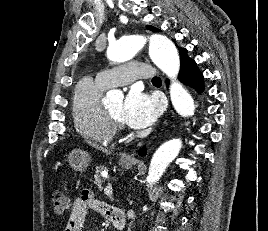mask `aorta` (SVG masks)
I'll return each instance as SVG.
<instances>
[{
    "instance_id": "1",
    "label": "aorta",
    "mask_w": 268,
    "mask_h": 231,
    "mask_svg": "<svg viewBox=\"0 0 268 231\" xmlns=\"http://www.w3.org/2000/svg\"><path fill=\"white\" fill-rule=\"evenodd\" d=\"M145 39L142 36H126L109 45L107 57L113 62H125L132 59L142 48ZM149 55L152 61L170 79V96L174 109L182 117L194 115V101L190 94L183 88L182 84L176 80L180 69V59L178 51L173 42L163 35H152L149 43ZM110 100L123 98V93L119 90H111L107 93ZM182 147L180 139H172L163 143L154 153L150 165L147 183L153 186L167 166L177 157Z\"/></svg>"
}]
</instances>
